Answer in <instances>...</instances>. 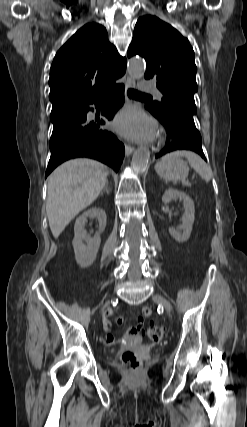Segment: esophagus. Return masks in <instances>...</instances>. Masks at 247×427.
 <instances>
[{"label":"esophagus","mask_w":247,"mask_h":427,"mask_svg":"<svg viewBox=\"0 0 247 427\" xmlns=\"http://www.w3.org/2000/svg\"><path fill=\"white\" fill-rule=\"evenodd\" d=\"M135 87V80L131 77H128L127 82H126V88H133ZM134 147L130 146V145H125V152L126 155L129 156L134 152Z\"/></svg>","instance_id":"esophagus-1"}]
</instances>
